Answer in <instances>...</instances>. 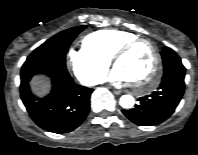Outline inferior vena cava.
Masks as SVG:
<instances>
[{
	"label": "inferior vena cava",
	"mask_w": 198,
	"mask_h": 155,
	"mask_svg": "<svg viewBox=\"0 0 198 155\" xmlns=\"http://www.w3.org/2000/svg\"><path fill=\"white\" fill-rule=\"evenodd\" d=\"M98 83H99V81L94 80L93 82H91V85H95V84H98Z\"/></svg>",
	"instance_id": "1"
}]
</instances>
